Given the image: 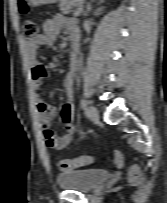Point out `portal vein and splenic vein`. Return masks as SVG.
I'll return each mask as SVG.
<instances>
[{"label": "portal vein and splenic vein", "mask_w": 167, "mask_h": 203, "mask_svg": "<svg viewBox=\"0 0 167 203\" xmlns=\"http://www.w3.org/2000/svg\"><path fill=\"white\" fill-rule=\"evenodd\" d=\"M80 13H81L80 11H79V12H77V13L75 14V16H79V15H80Z\"/></svg>", "instance_id": "obj_1"}]
</instances>
